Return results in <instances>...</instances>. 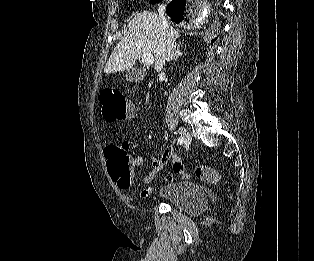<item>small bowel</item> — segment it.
Wrapping results in <instances>:
<instances>
[{
  "mask_svg": "<svg viewBox=\"0 0 314 261\" xmlns=\"http://www.w3.org/2000/svg\"><path fill=\"white\" fill-rule=\"evenodd\" d=\"M168 161H172L173 170L176 173H183V166L179 156L174 152L172 148L168 147L161 158H157L155 156L150 157L152 169L147 175L143 177L142 183L143 184L151 183ZM142 162H143L142 156L136 155L132 157V163L135 169H139ZM163 179L166 181H170L173 179V176L171 174H164ZM152 191H153L152 186H147L140 191V197L146 198L152 193Z\"/></svg>",
  "mask_w": 314,
  "mask_h": 261,
  "instance_id": "c3829d8e",
  "label": "small bowel"
}]
</instances>
